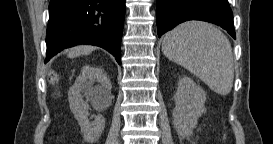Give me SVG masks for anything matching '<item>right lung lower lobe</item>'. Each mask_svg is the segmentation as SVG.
I'll use <instances>...</instances> for the list:
<instances>
[{"mask_svg":"<svg viewBox=\"0 0 273 144\" xmlns=\"http://www.w3.org/2000/svg\"><path fill=\"white\" fill-rule=\"evenodd\" d=\"M125 0H50L45 63L78 44L102 47L121 63Z\"/></svg>","mask_w":273,"mask_h":144,"instance_id":"1","label":"right lung lower lobe"}]
</instances>
